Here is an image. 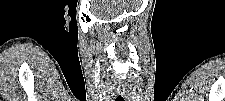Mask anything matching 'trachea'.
I'll return each instance as SVG.
<instances>
[{"mask_svg": "<svg viewBox=\"0 0 225 101\" xmlns=\"http://www.w3.org/2000/svg\"><path fill=\"white\" fill-rule=\"evenodd\" d=\"M115 101H124V99H123V97L118 96V97L115 99Z\"/></svg>", "mask_w": 225, "mask_h": 101, "instance_id": "obj_1", "label": "trachea"}]
</instances>
